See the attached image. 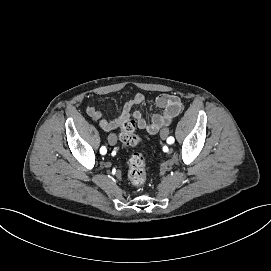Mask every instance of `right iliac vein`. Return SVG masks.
Returning <instances> with one entry per match:
<instances>
[{"label": "right iliac vein", "mask_w": 271, "mask_h": 271, "mask_svg": "<svg viewBox=\"0 0 271 271\" xmlns=\"http://www.w3.org/2000/svg\"><path fill=\"white\" fill-rule=\"evenodd\" d=\"M108 142L111 146H114L116 143H117V137L114 133H111L109 136H108Z\"/></svg>", "instance_id": "obj_1"}]
</instances>
